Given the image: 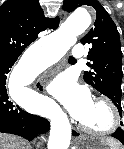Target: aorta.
I'll return each instance as SVG.
<instances>
[{
    "mask_svg": "<svg viewBox=\"0 0 124 149\" xmlns=\"http://www.w3.org/2000/svg\"><path fill=\"white\" fill-rule=\"evenodd\" d=\"M91 24V16L85 9H78L73 12L61 26L53 33L40 41V46L34 48L33 53L26 61L22 60L14 69L11 75L13 80L19 79L24 85V77L31 72V63L40 56L46 49H52L59 54H64L76 42V36L86 30ZM42 45V47H41ZM47 116L51 121L50 136L47 149H67L71 140V126L67 115L54 102L49 103Z\"/></svg>",
    "mask_w": 124,
    "mask_h": 149,
    "instance_id": "obj_1",
    "label": "aorta"
}]
</instances>
